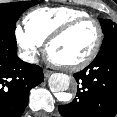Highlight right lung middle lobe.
Masks as SVG:
<instances>
[{
  "label": "right lung middle lobe",
  "instance_id": "dd1d6c3e",
  "mask_svg": "<svg viewBox=\"0 0 117 117\" xmlns=\"http://www.w3.org/2000/svg\"><path fill=\"white\" fill-rule=\"evenodd\" d=\"M39 1H21L0 4V29L15 32V24L19 16L28 8L38 4Z\"/></svg>",
  "mask_w": 117,
  "mask_h": 117
}]
</instances>
